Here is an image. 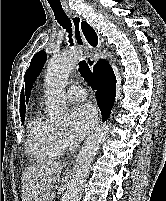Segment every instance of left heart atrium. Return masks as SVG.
<instances>
[{
	"label": "left heart atrium",
	"instance_id": "obj_1",
	"mask_svg": "<svg viewBox=\"0 0 166 201\" xmlns=\"http://www.w3.org/2000/svg\"><path fill=\"white\" fill-rule=\"evenodd\" d=\"M97 121V114L92 106L83 104L75 107L71 112L70 138L73 142H80L93 128Z\"/></svg>",
	"mask_w": 166,
	"mask_h": 201
}]
</instances>
